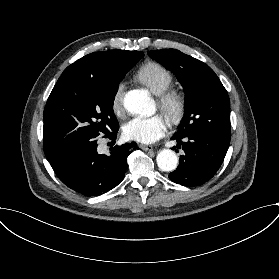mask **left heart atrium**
<instances>
[{"instance_id":"left-heart-atrium-1","label":"left heart atrium","mask_w":279,"mask_h":279,"mask_svg":"<svg viewBox=\"0 0 279 279\" xmlns=\"http://www.w3.org/2000/svg\"><path fill=\"white\" fill-rule=\"evenodd\" d=\"M167 131V123L162 114L150 117H134L122 127L125 139L143 144H151L161 139Z\"/></svg>"}]
</instances>
